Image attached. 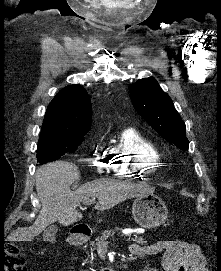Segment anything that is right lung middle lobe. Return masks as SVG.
<instances>
[{
  "instance_id": "1",
  "label": "right lung middle lobe",
  "mask_w": 221,
  "mask_h": 271,
  "mask_svg": "<svg viewBox=\"0 0 221 271\" xmlns=\"http://www.w3.org/2000/svg\"><path fill=\"white\" fill-rule=\"evenodd\" d=\"M84 140L82 136L40 135L37 148V162L40 165L58 160L62 155L74 152Z\"/></svg>"
}]
</instances>
